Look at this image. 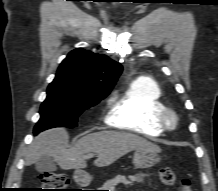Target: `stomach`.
<instances>
[{
  "mask_svg": "<svg viewBox=\"0 0 218 191\" xmlns=\"http://www.w3.org/2000/svg\"><path fill=\"white\" fill-rule=\"evenodd\" d=\"M160 162L158 152L152 150H136L133 157V164L136 168L144 169L155 166ZM74 180L81 186H88L92 177L85 171L76 170Z\"/></svg>",
  "mask_w": 218,
  "mask_h": 191,
  "instance_id": "1",
  "label": "stomach"
}]
</instances>
